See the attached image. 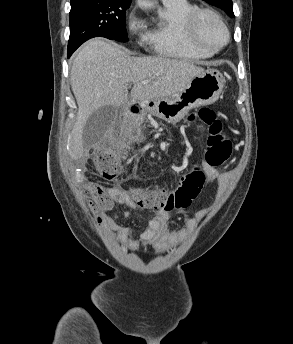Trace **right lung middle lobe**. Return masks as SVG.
Instances as JSON below:
<instances>
[{
	"label": "right lung middle lobe",
	"mask_w": 293,
	"mask_h": 344,
	"mask_svg": "<svg viewBox=\"0 0 293 344\" xmlns=\"http://www.w3.org/2000/svg\"><path fill=\"white\" fill-rule=\"evenodd\" d=\"M130 3L83 0L71 4L68 56L93 37L127 42L125 12Z\"/></svg>",
	"instance_id": "dd1d6c3e"
}]
</instances>
